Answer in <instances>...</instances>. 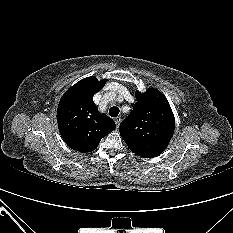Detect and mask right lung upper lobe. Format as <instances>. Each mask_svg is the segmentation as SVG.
Segmentation results:
<instances>
[{
	"label": "right lung upper lobe",
	"mask_w": 233,
	"mask_h": 233,
	"mask_svg": "<svg viewBox=\"0 0 233 233\" xmlns=\"http://www.w3.org/2000/svg\"><path fill=\"white\" fill-rule=\"evenodd\" d=\"M106 80L87 77L73 85L61 98L57 109L60 134L66 144L79 152L97 148L100 140L116 128L115 122L101 114L93 96Z\"/></svg>",
	"instance_id": "1"
}]
</instances>
